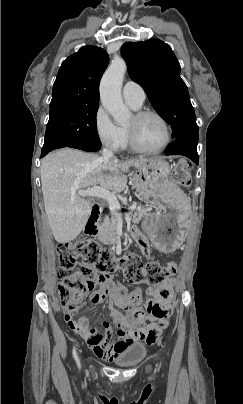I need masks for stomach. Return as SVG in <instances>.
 Returning a JSON list of instances; mask_svg holds the SVG:
<instances>
[{"label": "stomach", "mask_w": 243, "mask_h": 404, "mask_svg": "<svg viewBox=\"0 0 243 404\" xmlns=\"http://www.w3.org/2000/svg\"><path fill=\"white\" fill-rule=\"evenodd\" d=\"M169 176V164L158 157L136 168L132 176L137 190L155 208L154 213L144 216L142 226L162 252H171L181 246L191 217L189 199Z\"/></svg>", "instance_id": "0dacf381"}]
</instances>
